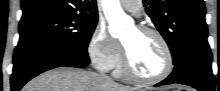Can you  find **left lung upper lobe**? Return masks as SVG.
Returning <instances> with one entry per match:
<instances>
[{"label": "left lung upper lobe", "mask_w": 220, "mask_h": 91, "mask_svg": "<svg viewBox=\"0 0 220 91\" xmlns=\"http://www.w3.org/2000/svg\"><path fill=\"white\" fill-rule=\"evenodd\" d=\"M147 14L166 40L173 64L210 52L203 0H143Z\"/></svg>", "instance_id": "obj_1"}]
</instances>
